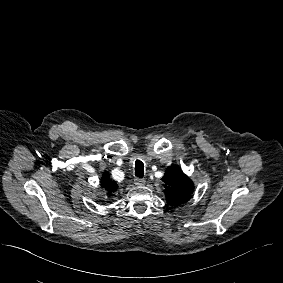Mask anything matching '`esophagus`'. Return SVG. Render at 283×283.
I'll use <instances>...</instances> for the list:
<instances>
[{
	"instance_id": "1",
	"label": "esophagus",
	"mask_w": 283,
	"mask_h": 283,
	"mask_svg": "<svg viewBox=\"0 0 283 283\" xmlns=\"http://www.w3.org/2000/svg\"><path fill=\"white\" fill-rule=\"evenodd\" d=\"M146 180L144 178H135L134 179V184L137 186H143L145 185Z\"/></svg>"
}]
</instances>
